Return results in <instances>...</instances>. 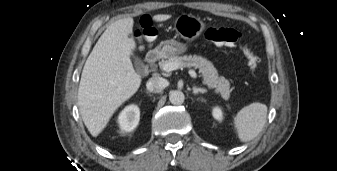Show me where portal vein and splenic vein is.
Listing matches in <instances>:
<instances>
[{
	"instance_id": "1",
	"label": "portal vein and splenic vein",
	"mask_w": 337,
	"mask_h": 171,
	"mask_svg": "<svg viewBox=\"0 0 337 171\" xmlns=\"http://www.w3.org/2000/svg\"><path fill=\"white\" fill-rule=\"evenodd\" d=\"M178 68H179V67H178V64H176V63H174V62H169V63H166V64L163 66L162 70L165 71V72H170V71H174V70H176V69H178ZM188 73H189V75H190L192 78H197V73H196L194 70L190 69V70L188 71Z\"/></svg>"
}]
</instances>
